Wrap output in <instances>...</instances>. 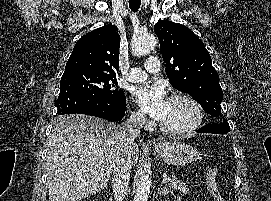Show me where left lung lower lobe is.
Instances as JSON below:
<instances>
[{
    "label": "left lung lower lobe",
    "instance_id": "0a47b994",
    "mask_svg": "<svg viewBox=\"0 0 271 201\" xmlns=\"http://www.w3.org/2000/svg\"><path fill=\"white\" fill-rule=\"evenodd\" d=\"M199 133L224 134L223 129L216 124H208L197 130Z\"/></svg>",
    "mask_w": 271,
    "mask_h": 201
}]
</instances>
